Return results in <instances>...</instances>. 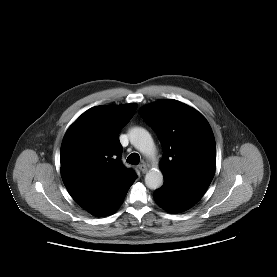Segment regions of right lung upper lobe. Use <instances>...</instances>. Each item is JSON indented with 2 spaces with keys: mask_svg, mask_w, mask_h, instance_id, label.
Listing matches in <instances>:
<instances>
[{
  "mask_svg": "<svg viewBox=\"0 0 277 277\" xmlns=\"http://www.w3.org/2000/svg\"><path fill=\"white\" fill-rule=\"evenodd\" d=\"M135 111V104L93 107L64 136L61 176L72 198L89 212L104 205L137 177L121 162L118 136Z\"/></svg>",
  "mask_w": 277,
  "mask_h": 277,
  "instance_id": "1",
  "label": "right lung upper lobe"
}]
</instances>
